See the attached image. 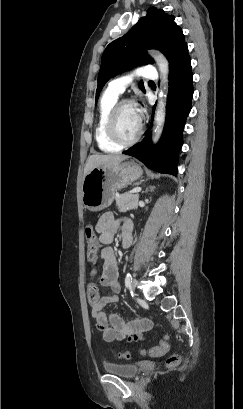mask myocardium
Instances as JSON below:
<instances>
[{
    "instance_id": "obj_1",
    "label": "myocardium",
    "mask_w": 243,
    "mask_h": 409,
    "mask_svg": "<svg viewBox=\"0 0 243 409\" xmlns=\"http://www.w3.org/2000/svg\"><path fill=\"white\" fill-rule=\"evenodd\" d=\"M129 105L135 106V107L137 106V104L133 100H130V99H122L118 101L111 109L108 115V118H107V122H106V131H107L108 137L113 143L121 147L129 146V145L136 143L144 132L143 123L141 121L140 128L134 137L130 139H125L120 134L118 125H117L118 115L125 106H129Z\"/></svg>"
}]
</instances>
